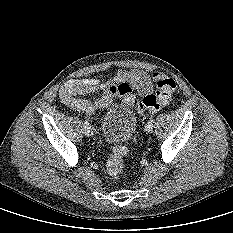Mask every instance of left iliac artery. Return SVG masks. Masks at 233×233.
<instances>
[{"label":"left iliac artery","instance_id":"left-iliac-artery-1","mask_svg":"<svg viewBox=\"0 0 233 233\" xmlns=\"http://www.w3.org/2000/svg\"><path fill=\"white\" fill-rule=\"evenodd\" d=\"M153 117H151L148 121V125L152 128L153 127Z\"/></svg>","mask_w":233,"mask_h":233}]
</instances>
